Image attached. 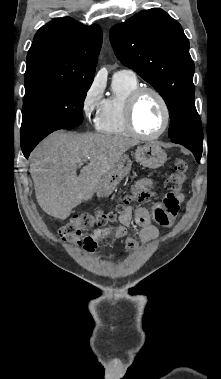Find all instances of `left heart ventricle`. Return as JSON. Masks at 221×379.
<instances>
[{
	"label": "left heart ventricle",
	"mask_w": 221,
	"mask_h": 379,
	"mask_svg": "<svg viewBox=\"0 0 221 379\" xmlns=\"http://www.w3.org/2000/svg\"><path fill=\"white\" fill-rule=\"evenodd\" d=\"M137 129L147 135L155 134L163 124V110L158 99L151 93L140 97L135 108Z\"/></svg>",
	"instance_id": "b2bd125f"
}]
</instances>
